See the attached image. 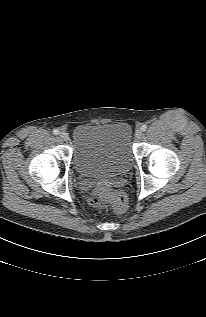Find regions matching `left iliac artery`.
I'll use <instances>...</instances> for the list:
<instances>
[{
  "label": "left iliac artery",
  "instance_id": "left-iliac-artery-1",
  "mask_svg": "<svg viewBox=\"0 0 206 317\" xmlns=\"http://www.w3.org/2000/svg\"><path fill=\"white\" fill-rule=\"evenodd\" d=\"M146 129H147V125H142V126H141V130H142V131H146Z\"/></svg>",
  "mask_w": 206,
  "mask_h": 317
}]
</instances>
